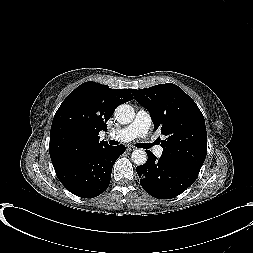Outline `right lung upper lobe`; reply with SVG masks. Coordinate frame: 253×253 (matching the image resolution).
Here are the masks:
<instances>
[{
  "mask_svg": "<svg viewBox=\"0 0 253 253\" xmlns=\"http://www.w3.org/2000/svg\"><path fill=\"white\" fill-rule=\"evenodd\" d=\"M130 91L85 82L67 96L51 125L49 152L54 169L108 146L99 142L98 134L107 129L116 107L133 99Z\"/></svg>",
  "mask_w": 253,
  "mask_h": 253,
  "instance_id": "1",
  "label": "right lung upper lobe"
}]
</instances>
